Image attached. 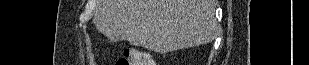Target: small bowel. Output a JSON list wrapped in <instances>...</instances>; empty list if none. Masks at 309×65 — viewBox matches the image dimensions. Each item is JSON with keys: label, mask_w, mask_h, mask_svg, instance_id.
<instances>
[{"label": "small bowel", "mask_w": 309, "mask_h": 65, "mask_svg": "<svg viewBox=\"0 0 309 65\" xmlns=\"http://www.w3.org/2000/svg\"><path fill=\"white\" fill-rule=\"evenodd\" d=\"M145 63L151 64V63H153V62H152V60L149 58V60H146Z\"/></svg>", "instance_id": "obj_1"}]
</instances>
